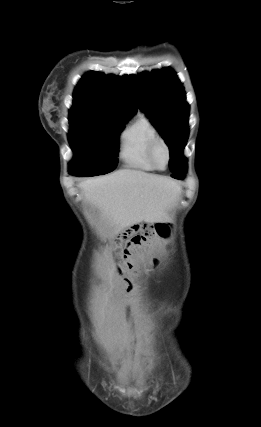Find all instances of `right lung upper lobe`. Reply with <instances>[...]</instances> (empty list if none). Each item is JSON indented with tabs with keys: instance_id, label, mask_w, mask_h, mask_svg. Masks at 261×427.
I'll return each mask as SVG.
<instances>
[{
	"instance_id": "obj_1",
	"label": "right lung upper lobe",
	"mask_w": 261,
	"mask_h": 427,
	"mask_svg": "<svg viewBox=\"0 0 261 427\" xmlns=\"http://www.w3.org/2000/svg\"><path fill=\"white\" fill-rule=\"evenodd\" d=\"M137 109L127 75L120 77L92 71L76 86L69 114L128 120Z\"/></svg>"
}]
</instances>
